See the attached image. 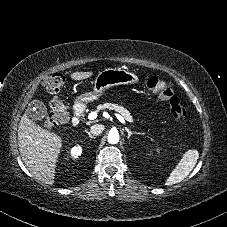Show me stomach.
Returning <instances> with one entry per match:
<instances>
[{"label":"stomach","instance_id":"stomach-1","mask_svg":"<svg viewBox=\"0 0 227 227\" xmlns=\"http://www.w3.org/2000/svg\"><path fill=\"white\" fill-rule=\"evenodd\" d=\"M139 81L138 75L126 68H106L95 78L94 91L81 94L76 98V103L87 104L98 99L110 87L137 84Z\"/></svg>","mask_w":227,"mask_h":227}]
</instances>
